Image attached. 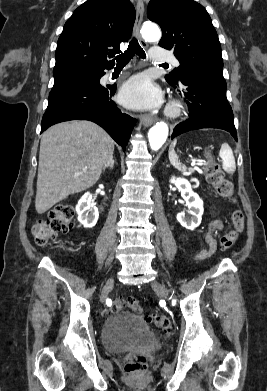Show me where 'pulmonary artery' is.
Instances as JSON below:
<instances>
[{"instance_id":"e3ab8cb5","label":"pulmonary artery","mask_w":267,"mask_h":391,"mask_svg":"<svg viewBox=\"0 0 267 391\" xmlns=\"http://www.w3.org/2000/svg\"><path fill=\"white\" fill-rule=\"evenodd\" d=\"M150 58L155 63L171 62L175 67L179 66V61L171 53L160 47L151 49Z\"/></svg>"}]
</instances>
